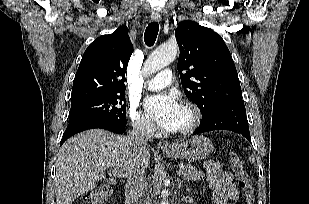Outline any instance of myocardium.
<instances>
[{
  "mask_svg": "<svg viewBox=\"0 0 309 204\" xmlns=\"http://www.w3.org/2000/svg\"><path fill=\"white\" fill-rule=\"evenodd\" d=\"M182 107L190 113L191 119L186 126L173 130V133L176 135H188L193 133L200 126L202 121V113L198 106L191 102H184Z\"/></svg>",
  "mask_w": 309,
  "mask_h": 204,
  "instance_id": "myocardium-1",
  "label": "myocardium"
}]
</instances>
